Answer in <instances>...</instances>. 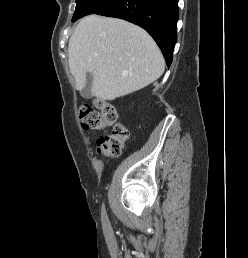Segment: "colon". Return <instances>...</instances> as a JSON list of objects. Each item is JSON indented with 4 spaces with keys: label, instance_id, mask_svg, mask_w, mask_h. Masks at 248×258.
<instances>
[{
    "label": "colon",
    "instance_id": "5ec220e1",
    "mask_svg": "<svg viewBox=\"0 0 248 258\" xmlns=\"http://www.w3.org/2000/svg\"><path fill=\"white\" fill-rule=\"evenodd\" d=\"M78 114L79 121L85 129L110 127L109 134L97 139V151L106 156H119L128 138V130L119 122L114 105L103 100H96L94 107L88 104L80 105Z\"/></svg>",
    "mask_w": 248,
    "mask_h": 258
}]
</instances>
